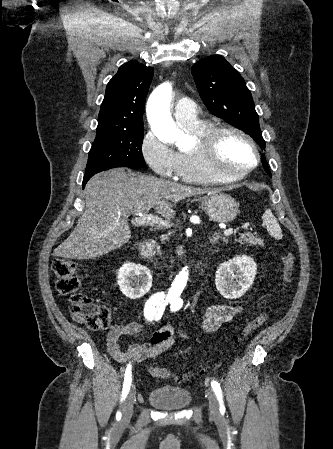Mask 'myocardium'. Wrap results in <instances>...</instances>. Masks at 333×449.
<instances>
[{
    "mask_svg": "<svg viewBox=\"0 0 333 449\" xmlns=\"http://www.w3.org/2000/svg\"><path fill=\"white\" fill-rule=\"evenodd\" d=\"M228 135L242 138L254 152L255 161L240 173L225 172L218 168L217 157L220 143ZM195 150L197 151L205 170L215 179L223 182H235L245 179L259 165L261 155L253 138L243 130L233 126H213L197 138Z\"/></svg>",
    "mask_w": 333,
    "mask_h": 449,
    "instance_id": "obj_1",
    "label": "myocardium"
}]
</instances>
